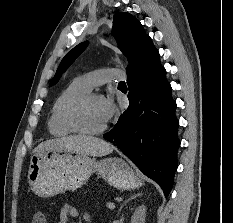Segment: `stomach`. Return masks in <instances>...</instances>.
Wrapping results in <instances>:
<instances>
[{"instance_id": "0dacf381", "label": "stomach", "mask_w": 233, "mask_h": 223, "mask_svg": "<svg viewBox=\"0 0 233 223\" xmlns=\"http://www.w3.org/2000/svg\"><path fill=\"white\" fill-rule=\"evenodd\" d=\"M92 173H97L117 189H137L142 185L141 179L121 157H105L97 161L96 157L62 147H42L34 153L27 177L35 195L53 197L64 191H76Z\"/></svg>"}]
</instances>
